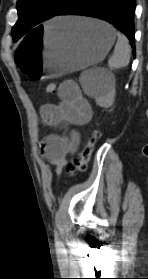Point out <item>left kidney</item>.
Returning <instances> with one entry per match:
<instances>
[{
  "label": "left kidney",
  "mask_w": 148,
  "mask_h": 279,
  "mask_svg": "<svg viewBox=\"0 0 148 279\" xmlns=\"http://www.w3.org/2000/svg\"><path fill=\"white\" fill-rule=\"evenodd\" d=\"M116 91L114 85H109L108 91L95 98L96 104L103 108H109L113 105Z\"/></svg>",
  "instance_id": "obj_1"
}]
</instances>
